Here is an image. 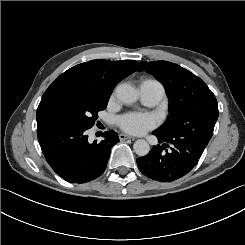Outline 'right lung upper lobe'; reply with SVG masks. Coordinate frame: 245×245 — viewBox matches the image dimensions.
Returning <instances> with one entry per match:
<instances>
[{
	"instance_id": "1",
	"label": "right lung upper lobe",
	"mask_w": 245,
	"mask_h": 245,
	"mask_svg": "<svg viewBox=\"0 0 245 245\" xmlns=\"http://www.w3.org/2000/svg\"><path fill=\"white\" fill-rule=\"evenodd\" d=\"M135 71H142V67L134 60H91L65 71L51 87L58 82H73L111 95L117 83Z\"/></svg>"
}]
</instances>
